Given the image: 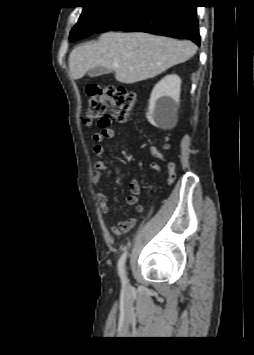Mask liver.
Segmentation results:
<instances>
[{
  "label": "liver",
  "mask_w": 254,
  "mask_h": 355,
  "mask_svg": "<svg viewBox=\"0 0 254 355\" xmlns=\"http://www.w3.org/2000/svg\"><path fill=\"white\" fill-rule=\"evenodd\" d=\"M197 51L191 41H178L147 33L107 32L97 42L76 47L69 55L73 79L101 66L115 72V79L132 84L153 78L189 60Z\"/></svg>",
  "instance_id": "liver-1"
}]
</instances>
